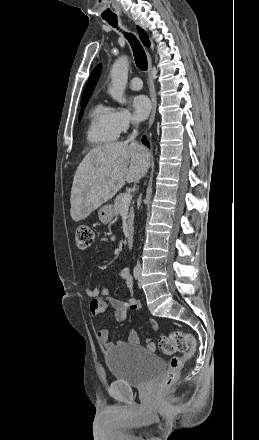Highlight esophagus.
I'll return each instance as SVG.
<instances>
[{
	"label": "esophagus",
	"instance_id": "1",
	"mask_svg": "<svg viewBox=\"0 0 259 440\" xmlns=\"http://www.w3.org/2000/svg\"><path fill=\"white\" fill-rule=\"evenodd\" d=\"M151 69H152V60H151L150 55L148 54L149 90H150V98L152 101V110H151V114H150V118H149V128L152 126V124L154 122L156 108H157V98H156L154 83L151 78Z\"/></svg>",
	"mask_w": 259,
	"mask_h": 440
}]
</instances>
